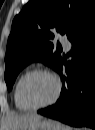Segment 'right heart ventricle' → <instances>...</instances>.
Instances as JSON below:
<instances>
[{
    "label": "right heart ventricle",
    "instance_id": "1",
    "mask_svg": "<svg viewBox=\"0 0 95 130\" xmlns=\"http://www.w3.org/2000/svg\"><path fill=\"white\" fill-rule=\"evenodd\" d=\"M27 73L24 72L22 74H20V76L18 77L16 83H15V86H14V90H13V100H14V104H15V107L20 110V111H28L29 109L27 107H25L20 99H19V86L21 84V81L23 80V78L25 77Z\"/></svg>",
    "mask_w": 95,
    "mask_h": 130
}]
</instances>
